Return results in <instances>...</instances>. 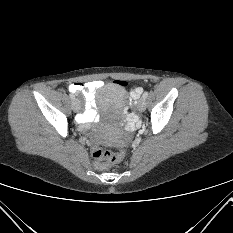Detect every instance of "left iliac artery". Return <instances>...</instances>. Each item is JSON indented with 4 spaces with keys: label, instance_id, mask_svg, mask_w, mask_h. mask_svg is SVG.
Wrapping results in <instances>:
<instances>
[{
    "label": "left iliac artery",
    "instance_id": "left-iliac-artery-1",
    "mask_svg": "<svg viewBox=\"0 0 233 233\" xmlns=\"http://www.w3.org/2000/svg\"><path fill=\"white\" fill-rule=\"evenodd\" d=\"M147 96H148V91H145V92L143 93V97H144V98H147Z\"/></svg>",
    "mask_w": 233,
    "mask_h": 233
}]
</instances>
